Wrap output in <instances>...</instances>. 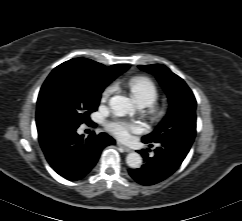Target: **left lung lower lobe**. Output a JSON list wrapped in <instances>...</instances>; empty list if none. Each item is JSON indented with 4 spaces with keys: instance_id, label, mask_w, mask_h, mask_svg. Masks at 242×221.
I'll return each mask as SVG.
<instances>
[{
    "instance_id": "left-lung-lower-lobe-1",
    "label": "left lung lower lobe",
    "mask_w": 242,
    "mask_h": 221,
    "mask_svg": "<svg viewBox=\"0 0 242 221\" xmlns=\"http://www.w3.org/2000/svg\"><path fill=\"white\" fill-rule=\"evenodd\" d=\"M190 147L176 141H165L157 143L153 155L148 154L146 150H140L138 152L142 154L144 165L138 169H129V174L141 185L159 183L179 168Z\"/></svg>"
}]
</instances>
